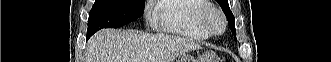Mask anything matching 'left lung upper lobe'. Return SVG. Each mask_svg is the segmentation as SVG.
Instances as JSON below:
<instances>
[{"mask_svg": "<svg viewBox=\"0 0 331 62\" xmlns=\"http://www.w3.org/2000/svg\"><path fill=\"white\" fill-rule=\"evenodd\" d=\"M217 2L220 4L223 12L225 13L229 26L231 28L232 33L235 35V39H236V31H235V27H234V23H235V18L234 15L232 14L229 5H228V0H217Z\"/></svg>", "mask_w": 331, "mask_h": 62, "instance_id": "5c2ea615", "label": "left lung upper lobe"}]
</instances>
